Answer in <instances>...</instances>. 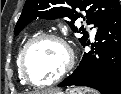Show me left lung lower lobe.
<instances>
[{"label":"left lung lower lobe","mask_w":121,"mask_h":94,"mask_svg":"<svg viewBox=\"0 0 121 94\" xmlns=\"http://www.w3.org/2000/svg\"><path fill=\"white\" fill-rule=\"evenodd\" d=\"M95 40V48L58 86H88L103 94H121V10L98 26Z\"/></svg>","instance_id":"obj_1"}]
</instances>
